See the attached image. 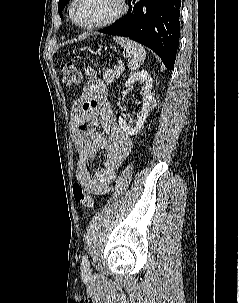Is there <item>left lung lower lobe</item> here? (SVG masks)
Returning <instances> with one entry per match:
<instances>
[{
  "label": "left lung lower lobe",
  "mask_w": 239,
  "mask_h": 303,
  "mask_svg": "<svg viewBox=\"0 0 239 303\" xmlns=\"http://www.w3.org/2000/svg\"><path fill=\"white\" fill-rule=\"evenodd\" d=\"M126 16L100 30L129 37L160 56L168 69L174 68L180 34L181 0H128Z\"/></svg>",
  "instance_id": "left-lung-lower-lobe-1"
}]
</instances>
